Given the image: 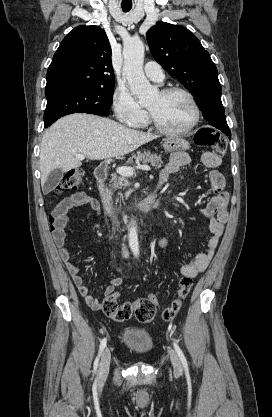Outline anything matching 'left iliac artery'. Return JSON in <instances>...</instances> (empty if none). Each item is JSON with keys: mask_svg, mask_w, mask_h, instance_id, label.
I'll return each mask as SVG.
<instances>
[{"mask_svg": "<svg viewBox=\"0 0 272 417\" xmlns=\"http://www.w3.org/2000/svg\"><path fill=\"white\" fill-rule=\"evenodd\" d=\"M173 346H174V349L177 352V354H178V356H179V358L182 362L183 367L185 369H187L188 368L187 360H186V358L184 356V353L182 352L181 348L179 347V345L175 341L173 342Z\"/></svg>", "mask_w": 272, "mask_h": 417, "instance_id": "obj_1", "label": "left iliac artery"}]
</instances>
